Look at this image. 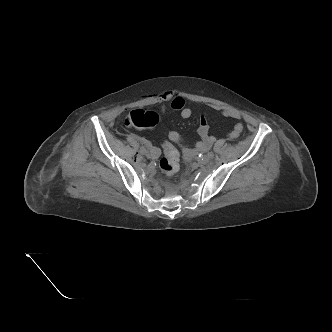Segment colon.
Wrapping results in <instances>:
<instances>
[{
  "label": "colon",
  "mask_w": 332,
  "mask_h": 332,
  "mask_svg": "<svg viewBox=\"0 0 332 332\" xmlns=\"http://www.w3.org/2000/svg\"><path fill=\"white\" fill-rule=\"evenodd\" d=\"M158 121L159 117L155 112L141 109L131 111L126 118V124L128 126L137 128H152ZM163 149L164 156L159 161V168L165 174H175L179 170V152L176 147L169 142L164 143Z\"/></svg>",
  "instance_id": "colon-1"
}]
</instances>
